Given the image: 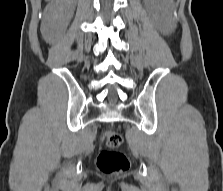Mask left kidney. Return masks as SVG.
Listing matches in <instances>:
<instances>
[{
  "label": "left kidney",
  "instance_id": "left-kidney-1",
  "mask_svg": "<svg viewBox=\"0 0 223 191\" xmlns=\"http://www.w3.org/2000/svg\"><path fill=\"white\" fill-rule=\"evenodd\" d=\"M154 19L160 28L166 32H172L175 28L172 0H145Z\"/></svg>",
  "mask_w": 223,
  "mask_h": 191
}]
</instances>
